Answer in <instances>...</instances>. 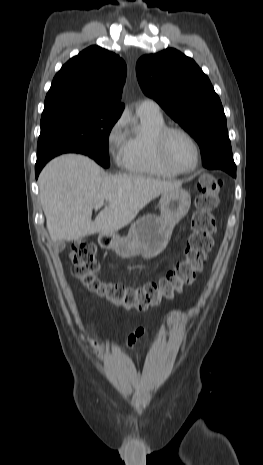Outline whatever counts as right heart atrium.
Here are the masks:
<instances>
[{
  "label": "right heart atrium",
  "mask_w": 263,
  "mask_h": 465,
  "mask_svg": "<svg viewBox=\"0 0 263 465\" xmlns=\"http://www.w3.org/2000/svg\"><path fill=\"white\" fill-rule=\"evenodd\" d=\"M125 119L117 118L109 127L106 134V148L113 161L121 166L125 155Z\"/></svg>",
  "instance_id": "d8ad5b80"
}]
</instances>
